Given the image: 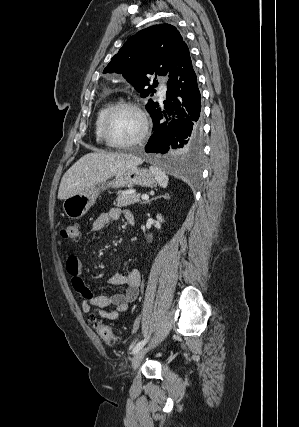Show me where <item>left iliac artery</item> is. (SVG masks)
Segmentation results:
<instances>
[{"mask_svg": "<svg viewBox=\"0 0 299 427\" xmlns=\"http://www.w3.org/2000/svg\"><path fill=\"white\" fill-rule=\"evenodd\" d=\"M148 339H144L136 344V346L133 348V354L137 353L146 343Z\"/></svg>", "mask_w": 299, "mask_h": 427, "instance_id": "left-iliac-artery-1", "label": "left iliac artery"}]
</instances>
